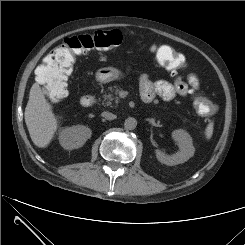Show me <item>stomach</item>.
Instances as JSON below:
<instances>
[{"instance_id": "obj_1", "label": "stomach", "mask_w": 245, "mask_h": 245, "mask_svg": "<svg viewBox=\"0 0 245 245\" xmlns=\"http://www.w3.org/2000/svg\"><path fill=\"white\" fill-rule=\"evenodd\" d=\"M122 77L120 70L114 67H103L97 70L96 79L101 83H109Z\"/></svg>"}]
</instances>
